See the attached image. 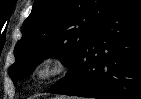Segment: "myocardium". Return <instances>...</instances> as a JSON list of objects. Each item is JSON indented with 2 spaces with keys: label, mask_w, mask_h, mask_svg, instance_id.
<instances>
[{
  "label": "myocardium",
  "mask_w": 141,
  "mask_h": 99,
  "mask_svg": "<svg viewBox=\"0 0 141 99\" xmlns=\"http://www.w3.org/2000/svg\"><path fill=\"white\" fill-rule=\"evenodd\" d=\"M69 70L67 58L58 53H49L42 56L32 69V79L39 83H49L65 75Z\"/></svg>",
  "instance_id": "myocardium-1"
}]
</instances>
